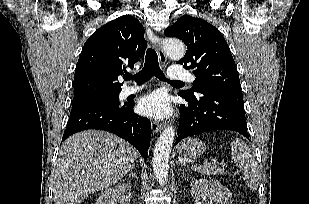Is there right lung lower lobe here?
Here are the masks:
<instances>
[{
  "label": "right lung lower lobe",
  "mask_w": 309,
  "mask_h": 204,
  "mask_svg": "<svg viewBox=\"0 0 309 204\" xmlns=\"http://www.w3.org/2000/svg\"><path fill=\"white\" fill-rule=\"evenodd\" d=\"M134 103L124 106L90 105L71 110L62 141L87 129L111 132L131 143L144 159L150 144L151 123L133 111Z\"/></svg>",
  "instance_id": "1"
}]
</instances>
